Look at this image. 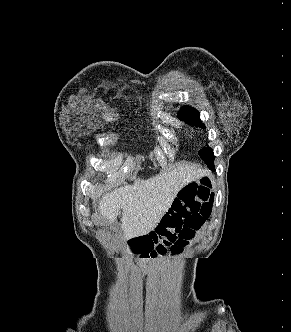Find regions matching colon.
Segmentation results:
<instances>
[{"mask_svg":"<svg viewBox=\"0 0 291 332\" xmlns=\"http://www.w3.org/2000/svg\"><path fill=\"white\" fill-rule=\"evenodd\" d=\"M213 195L204 188L180 191L160 224L147 234L131 240L143 256L180 254L211 216Z\"/></svg>","mask_w":291,"mask_h":332,"instance_id":"1","label":"colon"}]
</instances>
